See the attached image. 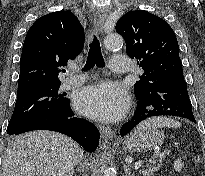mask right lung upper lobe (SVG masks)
<instances>
[{
	"instance_id": "right-lung-upper-lobe-1",
	"label": "right lung upper lobe",
	"mask_w": 205,
	"mask_h": 176,
	"mask_svg": "<svg viewBox=\"0 0 205 176\" xmlns=\"http://www.w3.org/2000/svg\"><path fill=\"white\" fill-rule=\"evenodd\" d=\"M84 44V30L70 11L39 18L27 32L21 55L17 96L60 85L58 73Z\"/></svg>"
}]
</instances>
